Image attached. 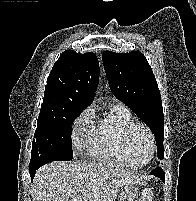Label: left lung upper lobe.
Instances as JSON below:
<instances>
[{"mask_svg": "<svg viewBox=\"0 0 196 201\" xmlns=\"http://www.w3.org/2000/svg\"><path fill=\"white\" fill-rule=\"evenodd\" d=\"M104 69L115 97L152 130L159 159L164 158V115L160 91L146 57L139 51H104Z\"/></svg>", "mask_w": 196, "mask_h": 201, "instance_id": "1", "label": "left lung upper lobe"}]
</instances>
